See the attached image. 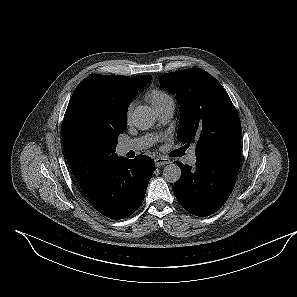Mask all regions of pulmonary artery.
I'll return each instance as SVG.
<instances>
[{"instance_id":"obj_1","label":"pulmonary artery","mask_w":297,"mask_h":297,"mask_svg":"<svg viewBox=\"0 0 297 297\" xmlns=\"http://www.w3.org/2000/svg\"><path fill=\"white\" fill-rule=\"evenodd\" d=\"M157 113L159 121L166 124L172 118L175 111V103L172 98L166 99L161 104L154 107ZM154 142V137L152 135H146L143 137L130 139L120 143L119 151L121 153H127L129 151H141L150 147ZM188 163L194 164L196 162V150L192 148L188 154Z\"/></svg>"}]
</instances>
